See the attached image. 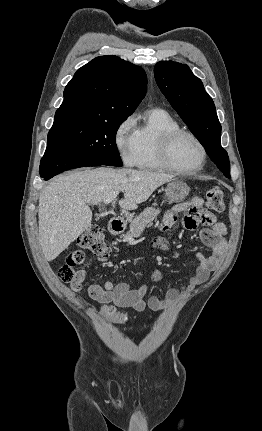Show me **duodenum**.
<instances>
[{
    "label": "duodenum",
    "instance_id": "410a0bca",
    "mask_svg": "<svg viewBox=\"0 0 262 431\" xmlns=\"http://www.w3.org/2000/svg\"><path fill=\"white\" fill-rule=\"evenodd\" d=\"M125 227L124 221L120 218L114 217L109 222V230L112 234H120Z\"/></svg>",
    "mask_w": 262,
    "mask_h": 431
}]
</instances>
